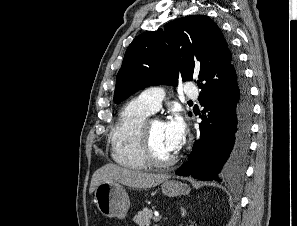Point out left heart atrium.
Returning a JSON list of instances; mask_svg holds the SVG:
<instances>
[{"mask_svg":"<svg viewBox=\"0 0 297 226\" xmlns=\"http://www.w3.org/2000/svg\"><path fill=\"white\" fill-rule=\"evenodd\" d=\"M165 137L172 150L179 149L185 139V126L179 116H173L164 123Z\"/></svg>","mask_w":297,"mask_h":226,"instance_id":"39dd6f15","label":"left heart atrium"}]
</instances>
